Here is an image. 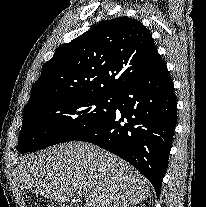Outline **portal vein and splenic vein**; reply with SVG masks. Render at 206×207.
<instances>
[{
	"mask_svg": "<svg viewBox=\"0 0 206 207\" xmlns=\"http://www.w3.org/2000/svg\"><path fill=\"white\" fill-rule=\"evenodd\" d=\"M85 195V193L84 192H79V196H84Z\"/></svg>",
	"mask_w": 206,
	"mask_h": 207,
	"instance_id": "1",
	"label": "portal vein and splenic vein"
}]
</instances>
